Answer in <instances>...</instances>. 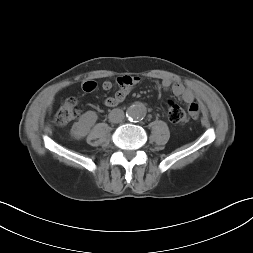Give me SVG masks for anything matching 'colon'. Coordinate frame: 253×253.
<instances>
[{"instance_id": "obj_1", "label": "colon", "mask_w": 253, "mask_h": 253, "mask_svg": "<svg viewBox=\"0 0 253 253\" xmlns=\"http://www.w3.org/2000/svg\"><path fill=\"white\" fill-rule=\"evenodd\" d=\"M80 114L81 110L78 101L73 97L66 98L55 115V123L58 126H65L76 120ZM167 117L173 124L183 125L188 122L184 109L172 101L167 104Z\"/></svg>"}]
</instances>
